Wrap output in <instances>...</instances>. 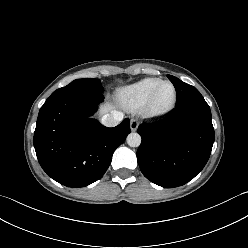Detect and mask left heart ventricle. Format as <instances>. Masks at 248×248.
<instances>
[{
    "label": "left heart ventricle",
    "mask_w": 248,
    "mask_h": 248,
    "mask_svg": "<svg viewBox=\"0 0 248 248\" xmlns=\"http://www.w3.org/2000/svg\"><path fill=\"white\" fill-rule=\"evenodd\" d=\"M173 99V88L170 85H163L154 100L155 109H163L167 107Z\"/></svg>",
    "instance_id": "left-heart-ventricle-1"
}]
</instances>
